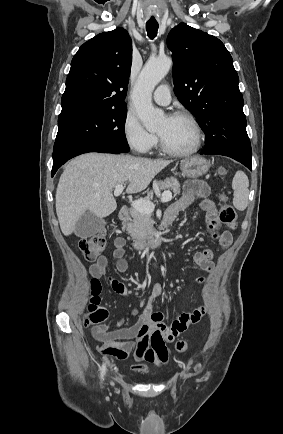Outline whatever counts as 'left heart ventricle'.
<instances>
[{"instance_id":"obj_1","label":"left heart ventricle","mask_w":283,"mask_h":434,"mask_svg":"<svg viewBox=\"0 0 283 434\" xmlns=\"http://www.w3.org/2000/svg\"><path fill=\"white\" fill-rule=\"evenodd\" d=\"M157 133L174 150H187L194 143V131L190 123L182 118L164 117L157 127Z\"/></svg>"}]
</instances>
